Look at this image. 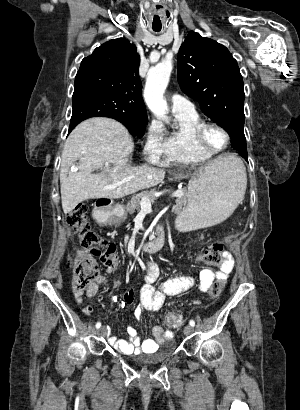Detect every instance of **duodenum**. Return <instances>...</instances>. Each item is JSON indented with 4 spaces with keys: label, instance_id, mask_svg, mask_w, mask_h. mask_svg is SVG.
<instances>
[{
    "label": "duodenum",
    "instance_id": "obj_1",
    "mask_svg": "<svg viewBox=\"0 0 300 410\" xmlns=\"http://www.w3.org/2000/svg\"><path fill=\"white\" fill-rule=\"evenodd\" d=\"M108 206L109 202L97 205L95 209L96 219L100 223H107L109 222V215H108ZM162 246V243L158 240L151 241L143 246V250L149 253H153L158 251Z\"/></svg>",
    "mask_w": 300,
    "mask_h": 410
}]
</instances>
